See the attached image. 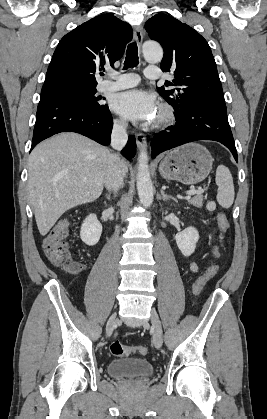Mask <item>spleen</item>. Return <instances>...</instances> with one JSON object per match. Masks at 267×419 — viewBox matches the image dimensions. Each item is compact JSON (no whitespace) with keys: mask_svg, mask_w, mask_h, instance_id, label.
Here are the masks:
<instances>
[{"mask_svg":"<svg viewBox=\"0 0 267 419\" xmlns=\"http://www.w3.org/2000/svg\"><path fill=\"white\" fill-rule=\"evenodd\" d=\"M215 181L218 186L217 202L223 208H229L234 202L235 191L232 175L226 166H218Z\"/></svg>","mask_w":267,"mask_h":419,"instance_id":"obj_1","label":"spleen"}]
</instances>
